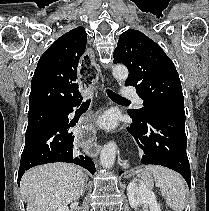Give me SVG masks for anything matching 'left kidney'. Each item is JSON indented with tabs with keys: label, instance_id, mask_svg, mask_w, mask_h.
<instances>
[{
	"label": "left kidney",
	"instance_id": "5707ae66",
	"mask_svg": "<svg viewBox=\"0 0 209 211\" xmlns=\"http://www.w3.org/2000/svg\"><path fill=\"white\" fill-rule=\"evenodd\" d=\"M127 196L132 208L147 204L150 211H161L154 192L145 183L130 182L127 186Z\"/></svg>",
	"mask_w": 209,
	"mask_h": 211
}]
</instances>
